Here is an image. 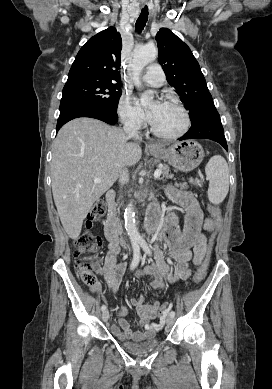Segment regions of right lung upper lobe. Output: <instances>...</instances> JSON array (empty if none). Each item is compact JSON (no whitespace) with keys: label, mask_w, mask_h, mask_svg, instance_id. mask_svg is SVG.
<instances>
[{"label":"right lung upper lobe","mask_w":272,"mask_h":389,"mask_svg":"<svg viewBox=\"0 0 272 389\" xmlns=\"http://www.w3.org/2000/svg\"><path fill=\"white\" fill-rule=\"evenodd\" d=\"M121 49V36L114 27L91 37L78 52L66 84L85 80L120 83Z\"/></svg>","instance_id":"obj_1"}]
</instances>
